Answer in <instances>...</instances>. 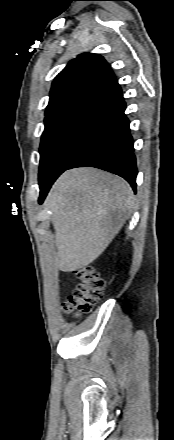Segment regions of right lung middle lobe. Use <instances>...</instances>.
I'll return each mask as SVG.
<instances>
[{
  "label": "right lung middle lobe",
  "instance_id": "1",
  "mask_svg": "<svg viewBox=\"0 0 174 440\" xmlns=\"http://www.w3.org/2000/svg\"><path fill=\"white\" fill-rule=\"evenodd\" d=\"M97 108L98 96H91L45 118L39 149L40 187L53 184L73 162L91 129Z\"/></svg>",
  "mask_w": 174,
  "mask_h": 440
}]
</instances>
